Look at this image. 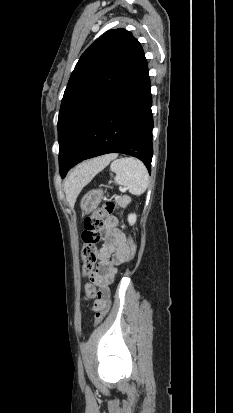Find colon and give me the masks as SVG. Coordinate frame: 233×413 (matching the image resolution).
Returning <instances> with one entry per match:
<instances>
[{
    "label": "colon",
    "instance_id": "colon-1",
    "mask_svg": "<svg viewBox=\"0 0 233 413\" xmlns=\"http://www.w3.org/2000/svg\"><path fill=\"white\" fill-rule=\"evenodd\" d=\"M116 209V204L112 200H107L92 215L84 220V229L81 233L83 242L81 248V257L83 260V273L91 276L97 260V244L101 240V234L106 229V221L112 216ZM135 254V246L131 239L127 241L126 262H129ZM110 308L109 305H95V326L99 325L106 316Z\"/></svg>",
    "mask_w": 233,
    "mask_h": 413
}]
</instances>
